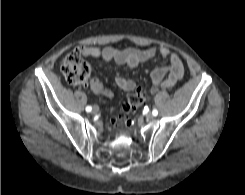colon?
<instances>
[{"instance_id":"1","label":"colon","mask_w":245,"mask_h":195,"mask_svg":"<svg viewBox=\"0 0 245 195\" xmlns=\"http://www.w3.org/2000/svg\"><path fill=\"white\" fill-rule=\"evenodd\" d=\"M61 71L69 83L85 84L90 76V65L83 57L82 51L76 49L66 55L61 65ZM146 96V91L141 87L133 90L127 102L122 106L120 114L112 119V125L115 126L121 119L139 107L145 101Z\"/></svg>"}]
</instances>
